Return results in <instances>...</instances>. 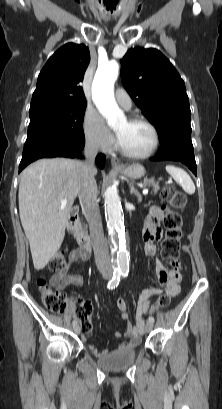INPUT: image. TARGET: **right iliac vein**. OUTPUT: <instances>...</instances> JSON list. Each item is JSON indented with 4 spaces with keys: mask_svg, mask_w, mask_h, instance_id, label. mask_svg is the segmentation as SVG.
<instances>
[{
    "mask_svg": "<svg viewBox=\"0 0 222 409\" xmlns=\"http://www.w3.org/2000/svg\"><path fill=\"white\" fill-rule=\"evenodd\" d=\"M74 331H75V333H80V327H79V325H75V326H74Z\"/></svg>",
    "mask_w": 222,
    "mask_h": 409,
    "instance_id": "1",
    "label": "right iliac vein"
}]
</instances>
